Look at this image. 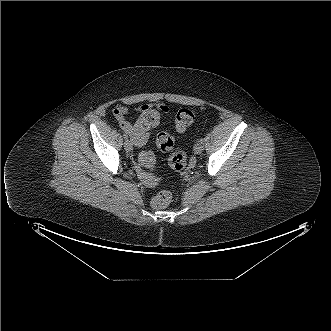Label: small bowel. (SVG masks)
Segmentation results:
<instances>
[{"label":"small bowel","mask_w":331,"mask_h":331,"mask_svg":"<svg viewBox=\"0 0 331 331\" xmlns=\"http://www.w3.org/2000/svg\"><path fill=\"white\" fill-rule=\"evenodd\" d=\"M147 109H155L158 112H162V113H167L169 111L168 107L165 104L159 103V104L143 105L140 107L139 112ZM113 114L118 122L120 129L126 134H129L131 136L132 142L136 146L141 147L146 144L148 138L144 141L139 140V131H138L137 122L135 124H132L130 121L127 120L126 116L128 115V109L126 106L124 105L117 106L114 109ZM147 158L153 159L152 153L150 151H143L140 155V161L143 164H146Z\"/></svg>","instance_id":"small-bowel-1"}]
</instances>
